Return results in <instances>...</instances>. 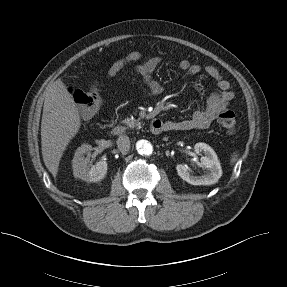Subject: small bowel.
<instances>
[{
  "label": "small bowel",
  "instance_id": "small-bowel-1",
  "mask_svg": "<svg viewBox=\"0 0 287 287\" xmlns=\"http://www.w3.org/2000/svg\"><path fill=\"white\" fill-rule=\"evenodd\" d=\"M162 59L159 56H147L138 51H132L126 56L115 61L107 72V77L116 76L122 69L129 64H135L133 71L140 75L148 88V95L158 96L163 88L157 82L153 74ZM179 68L188 75H198L205 73L217 86V91L213 92L207 99L206 106L203 109L195 110L192 115L182 120H168L163 122L167 131L171 130H191L204 129L210 126L217 114L225 109L234 98V93L230 88V83L224 79L219 71L213 66L202 67L199 64L191 63L183 59L178 64Z\"/></svg>",
  "mask_w": 287,
  "mask_h": 287
}]
</instances>
